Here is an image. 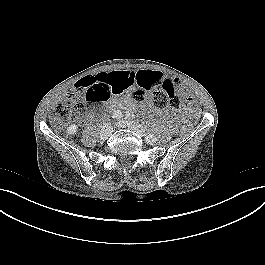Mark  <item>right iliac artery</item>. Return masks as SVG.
<instances>
[{
	"mask_svg": "<svg viewBox=\"0 0 265 265\" xmlns=\"http://www.w3.org/2000/svg\"><path fill=\"white\" fill-rule=\"evenodd\" d=\"M122 116H123V115H122V113H121L120 111H115V112L113 113L112 118L120 119Z\"/></svg>",
	"mask_w": 265,
	"mask_h": 265,
	"instance_id": "right-iliac-artery-1",
	"label": "right iliac artery"
}]
</instances>
